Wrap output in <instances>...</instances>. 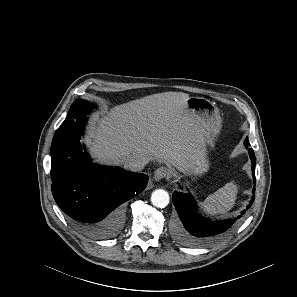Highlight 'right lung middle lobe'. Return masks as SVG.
Here are the masks:
<instances>
[{"instance_id":"dd1d6c3e","label":"right lung middle lobe","mask_w":297,"mask_h":297,"mask_svg":"<svg viewBox=\"0 0 297 297\" xmlns=\"http://www.w3.org/2000/svg\"><path fill=\"white\" fill-rule=\"evenodd\" d=\"M95 106L93 104H90L88 101L83 99L76 100L70 107V110L68 112V115L66 119L64 120L63 124L68 122L72 119H77L80 116H85L86 114L91 111ZM62 124V125H63Z\"/></svg>"}]
</instances>
